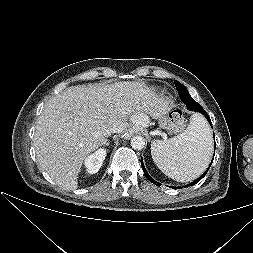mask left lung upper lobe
Instances as JSON below:
<instances>
[{
    "mask_svg": "<svg viewBox=\"0 0 253 253\" xmlns=\"http://www.w3.org/2000/svg\"><path fill=\"white\" fill-rule=\"evenodd\" d=\"M174 83L181 100L187 105V108L191 110V108L196 106L197 102L190 96L187 89L180 82L174 80Z\"/></svg>",
    "mask_w": 253,
    "mask_h": 253,
    "instance_id": "1",
    "label": "left lung upper lobe"
}]
</instances>
